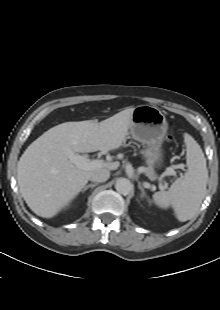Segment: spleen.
<instances>
[{"mask_svg":"<svg viewBox=\"0 0 220 310\" xmlns=\"http://www.w3.org/2000/svg\"><path fill=\"white\" fill-rule=\"evenodd\" d=\"M188 170L183 178L176 180L168 191L153 195L154 203L160 208L172 207L181 222L190 220L198 211L206 193L208 170L206 159L198 143L185 134Z\"/></svg>","mask_w":220,"mask_h":310,"instance_id":"1","label":"spleen"}]
</instances>
